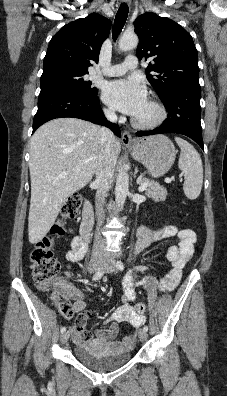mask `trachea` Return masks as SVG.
I'll use <instances>...</instances> for the list:
<instances>
[{"label":"trachea","instance_id":"1","mask_svg":"<svg viewBox=\"0 0 227 396\" xmlns=\"http://www.w3.org/2000/svg\"><path fill=\"white\" fill-rule=\"evenodd\" d=\"M128 12H129V8H128L127 4L122 3L121 6L119 7L116 17H115V22H114V27H113V39L114 40L117 38V36L122 31L124 24L128 17Z\"/></svg>","mask_w":227,"mask_h":396}]
</instances>
